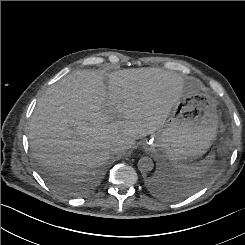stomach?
<instances>
[{
    "label": "stomach",
    "mask_w": 245,
    "mask_h": 245,
    "mask_svg": "<svg viewBox=\"0 0 245 245\" xmlns=\"http://www.w3.org/2000/svg\"><path fill=\"white\" fill-rule=\"evenodd\" d=\"M217 100L186 82L163 128L152 137L155 147L173 162L191 163L204 155L219 134Z\"/></svg>",
    "instance_id": "0dacf381"
}]
</instances>
